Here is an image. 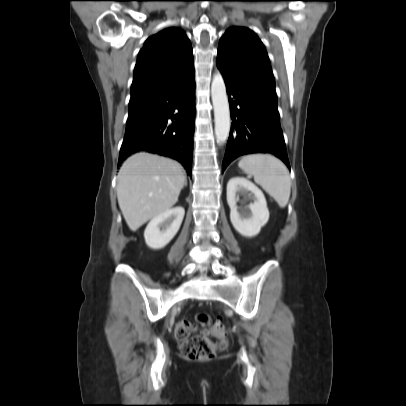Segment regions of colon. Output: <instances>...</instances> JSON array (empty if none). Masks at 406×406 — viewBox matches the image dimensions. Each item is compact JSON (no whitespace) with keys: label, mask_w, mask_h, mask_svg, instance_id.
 <instances>
[{"label":"colon","mask_w":406,"mask_h":406,"mask_svg":"<svg viewBox=\"0 0 406 406\" xmlns=\"http://www.w3.org/2000/svg\"><path fill=\"white\" fill-rule=\"evenodd\" d=\"M198 327H203L208 332L217 335L220 339V345H216L206 334L192 335ZM175 337L181 341V352L188 360L212 359L218 349H224L226 346L222 325L212 321L206 315H198L193 319L186 318L179 321L175 327Z\"/></svg>","instance_id":"obj_1"}]
</instances>
